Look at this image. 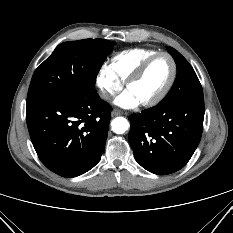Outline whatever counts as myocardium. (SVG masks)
Masks as SVG:
<instances>
[{"label": "myocardium", "mask_w": 233, "mask_h": 233, "mask_svg": "<svg viewBox=\"0 0 233 233\" xmlns=\"http://www.w3.org/2000/svg\"><path fill=\"white\" fill-rule=\"evenodd\" d=\"M167 57L171 64H172V74L171 77L169 79V81L167 82V84L165 85V87L161 90V92L159 94H157L154 98L147 100V101H143L140 102V104L144 107H153L157 104H159L166 96L167 94L170 92L171 88L173 87L176 77H177V65L176 62L174 60V58L167 52H158L152 56H150L149 58H147L145 61H143L138 68L132 73V75L125 81V88H127L128 86H130L131 84L137 82L138 80H140L142 78V76L144 75V73L146 72V70L148 69V67L159 57Z\"/></svg>", "instance_id": "myocardium-1"}]
</instances>
